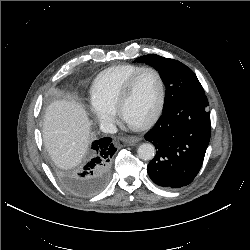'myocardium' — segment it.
<instances>
[{
	"label": "myocardium",
	"mask_w": 250,
	"mask_h": 250,
	"mask_svg": "<svg viewBox=\"0 0 250 250\" xmlns=\"http://www.w3.org/2000/svg\"><path fill=\"white\" fill-rule=\"evenodd\" d=\"M145 71H150L152 72L158 81V85H159V95H158V100H157V104L153 110V112L150 114L149 117H147L144 121H142L141 123L137 124V125H133L132 127L134 129H145L149 126H151L160 116L162 109L164 107V102H165V84H164V80L160 74V72L153 68V67H142L140 68L137 72H135L129 79L128 81L125 83V85L123 86L117 101H116V105H115V110L118 114V116L120 118L123 119L122 117V109L124 104L126 103V101L128 100L132 88L134 86V83L136 81V79L139 77V75Z\"/></svg>",
	"instance_id": "myocardium-1"
}]
</instances>
